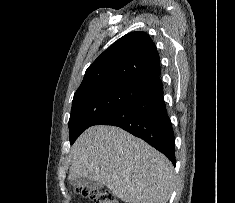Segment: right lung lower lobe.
Returning a JSON list of instances; mask_svg holds the SVG:
<instances>
[{
	"label": "right lung lower lobe",
	"instance_id": "98d812e1",
	"mask_svg": "<svg viewBox=\"0 0 235 203\" xmlns=\"http://www.w3.org/2000/svg\"><path fill=\"white\" fill-rule=\"evenodd\" d=\"M94 125L120 127L162 152L174 166L176 164L174 132L161 81L106 114Z\"/></svg>",
	"mask_w": 235,
	"mask_h": 203
}]
</instances>
